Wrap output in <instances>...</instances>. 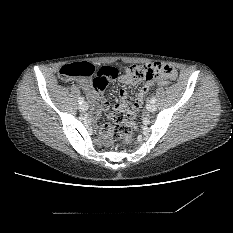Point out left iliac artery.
<instances>
[{"instance_id": "1", "label": "left iliac artery", "mask_w": 233, "mask_h": 233, "mask_svg": "<svg viewBox=\"0 0 233 233\" xmlns=\"http://www.w3.org/2000/svg\"><path fill=\"white\" fill-rule=\"evenodd\" d=\"M150 102L151 103H155L156 102V98L155 97L151 98Z\"/></svg>"}]
</instances>
